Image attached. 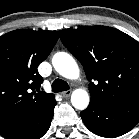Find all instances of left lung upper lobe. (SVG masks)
<instances>
[{
	"instance_id": "left-lung-upper-lobe-1",
	"label": "left lung upper lobe",
	"mask_w": 139,
	"mask_h": 139,
	"mask_svg": "<svg viewBox=\"0 0 139 139\" xmlns=\"http://www.w3.org/2000/svg\"><path fill=\"white\" fill-rule=\"evenodd\" d=\"M65 47L82 64L91 102L114 105L139 99V43L112 27L59 31Z\"/></svg>"
}]
</instances>
